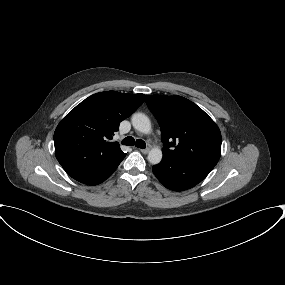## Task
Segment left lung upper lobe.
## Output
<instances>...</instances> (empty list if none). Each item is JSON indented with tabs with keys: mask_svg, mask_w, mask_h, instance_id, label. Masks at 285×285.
Returning <instances> with one entry per match:
<instances>
[{
	"mask_svg": "<svg viewBox=\"0 0 285 285\" xmlns=\"http://www.w3.org/2000/svg\"><path fill=\"white\" fill-rule=\"evenodd\" d=\"M162 129L165 158L212 170L220 159L218 126L200 107L181 96H146Z\"/></svg>",
	"mask_w": 285,
	"mask_h": 285,
	"instance_id": "left-lung-upper-lobe-1",
	"label": "left lung upper lobe"
}]
</instances>
